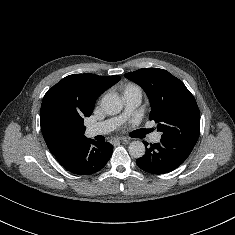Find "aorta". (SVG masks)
<instances>
[{
	"label": "aorta",
	"instance_id": "1",
	"mask_svg": "<svg viewBox=\"0 0 235 235\" xmlns=\"http://www.w3.org/2000/svg\"><path fill=\"white\" fill-rule=\"evenodd\" d=\"M102 110L109 115H115L123 109V101L116 93H107L101 99ZM131 157L141 158L145 154V145L141 141H132L128 146Z\"/></svg>",
	"mask_w": 235,
	"mask_h": 235
}]
</instances>
